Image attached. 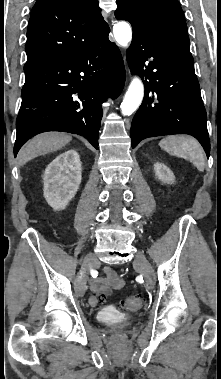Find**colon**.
Returning <instances> with one entry per match:
<instances>
[{
	"instance_id": "colon-1",
	"label": "colon",
	"mask_w": 221,
	"mask_h": 379,
	"mask_svg": "<svg viewBox=\"0 0 221 379\" xmlns=\"http://www.w3.org/2000/svg\"><path fill=\"white\" fill-rule=\"evenodd\" d=\"M102 300V298L100 299ZM143 297L140 295H130L122 300L121 306L124 310L135 311L139 309L143 304ZM116 337H120V335H116Z\"/></svg>"
}]
</instances>
